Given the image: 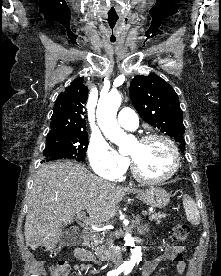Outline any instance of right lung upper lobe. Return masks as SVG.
<instances>
[{
  "instance_id": "right-lung-upper-lobe-1",
  "label": "right lung upper lobe",
  "mask_w": 221,
  "mask_h": 276,
  "mask_svg": "<svg viewBox=\"0 0 221 276\" xmlns=\"http://www.w3.org/2000/svg\"><path fill=\"white\" fill-rule=\"evenodd\" d=\"M83 81L84 77L74 79L65 91L58 95L51 117V131L47 136L87 133L83 115L88 88Z\"/></svg>"
}]
</instances>
